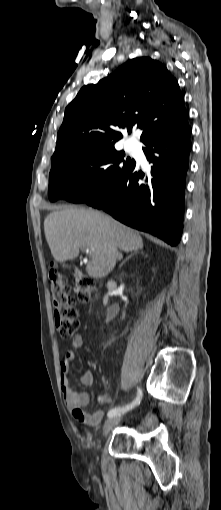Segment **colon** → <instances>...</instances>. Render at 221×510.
<instances>
[{
	"mask_svg": "<svg viewBox=\"0 0 221 510\" xmlns=\"http://www.w3.org/2000/svg\"><path fill=\"white\" fill-rule=\"evenodd\" d=\"M74 280V291L81 303L90 300L95 291L94 280L87 276L76 265L70 266ZM50 291L54 310L55 325L61 338L68 340L72 338L79 328L78 311L75 307V300L70 293L66 277L57 265L51 266L49 270ZM98 401L103 403L104 398L99 396Z\"/></svg>",
	"mask_w": 221,
	"mask_h": 510,
	"instance_id": "1",
	"label": "colon"
}]
</instances>
